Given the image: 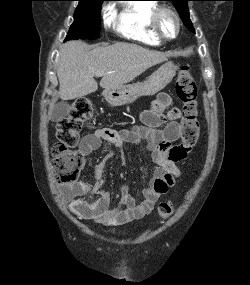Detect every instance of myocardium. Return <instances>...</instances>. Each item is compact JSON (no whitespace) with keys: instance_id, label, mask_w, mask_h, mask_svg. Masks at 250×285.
Instances as JSON below:
<instances>
[{"instance_id":"f54148a6","label":"myocardium","mask_w":250,"mask_h":285,"mask_svg":"<svg viewBox=\"0 0 250 285\" xmlns=\"http://www.w3.org/2000/svg\"><path fill=\"white\" fill-rule=\"evenodd\" d=\"M164 14L171 15L176 21L177 30H176V33L171 37L164 35L160 28V21ZM181 28H182V23H181L180 16L171 7L159 6L153 12L152 17H151V29L155 37L158 38L160 41L165 42V41H171V40L176 39L177 36L180 34Z\"/></svg>"}]
</instances>
